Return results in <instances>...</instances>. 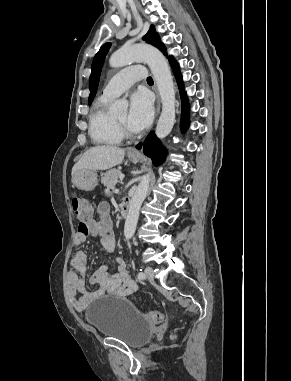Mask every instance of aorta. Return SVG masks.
Segmentation results:
<instances>
[{
	"label": "aorta",
	"mask_w": 291,
	"mask_h": 381,
	"mask_svg": "<svg viewBox=\"0 0 291 381\" xmlns=\"http://www.w3.org/2000/svg\"><path fill=\"white\" fill-rule=\"evenodd\" d=\"M135 61H144L148 64L158 87L162 102V112L156 126L158 138H165L172 130L175 123V88L173 78L166 58L155 47L146 44L123 46L115 51L109 63L111 67L119 68ZM127 103L117 100L111 107V112L126 111ZM150 176L145 175L140 181L137 190L130 201L129 212L124 226L126 239L132 238L135 233L139 211L147 196Z\"/></svg>",
	"instance_id": "1"
}]
</instances>
